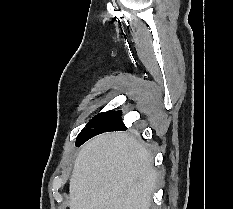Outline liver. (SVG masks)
<instances>
[{
    "instance_id": "liver-1",
    "label": "liver",
    "mask_w": 233,
    "mask_h": 209,
    "mask_svg": "<svg viewBox=\"0 0 233 209\" xmlns=\"http://www.w3.org/2000/svg\"><path fill=\"white\" fill-rule=\"evenodd\" d=\"M155 186L146 147L127 133H105L78 153L67 204L70 209H150Z\"/></svg>"
}]
</instances>
